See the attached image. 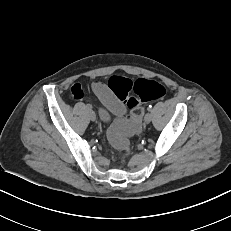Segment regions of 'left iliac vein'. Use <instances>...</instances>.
<instances>
[{"label":"left iliac vein","mask_w":231,"mask_h":231,"mask_svg":"<svg viewBox=\"0 0 231 231\" xmlns=\"http://www.w3.org/2000/svg\"><path fill=\"white\" fill-rule=\"evenodd\" d=\"M151 120H152V115H151V113H149V112L146 113L145 116H144V121H145V123H150Z\"/></svg>","instance_id":"4c4485c4"}]
</instances>
